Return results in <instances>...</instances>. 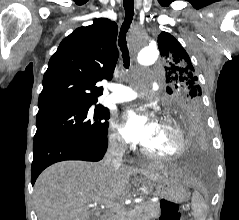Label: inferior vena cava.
<instances>
[{"label": "inferior vena cava", "instance_id": "obj_1", "mask_svg": "<svg viewBox=\"0 0 239 220\" xmlns=\"http://www.w3.org/2000/svg\"><path fill=\"white\" fill-rule=\"evenodd\" d=\"M125 149L126 144L124 141L117 139L111 140L102 165L109 168L120 167Z\"/></svg>", "mask_w": 239, "mask_h": 220}]
</instances>
